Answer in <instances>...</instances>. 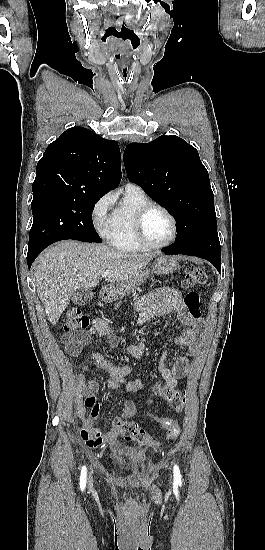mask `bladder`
I'll use <instances>...</instances> for the list:
<instances>
[{
	"instance_id": "obj_1",
	"label": "bladder",
	"mask_w": 265,
	"mask_h": 550,
	"mask_svg": "<svg viewBox=\"0 0 265 550\" xmlns=\"http://www.w3.org/2000/svg\"><path fill=\"white\" fill-rule=\"evenodd\" d=\"M108 458L121 467H131L137 461H143L146 454L139 447L113 445L108 451Z\"/></svg>"
}]
</instances>
